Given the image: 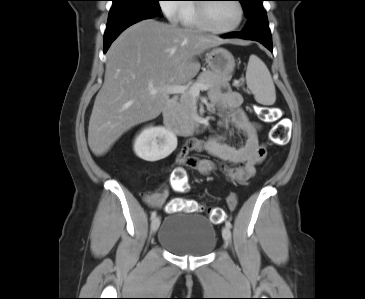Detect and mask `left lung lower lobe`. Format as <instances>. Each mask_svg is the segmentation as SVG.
<instances>
[{"instance_id":"0a47b994","label":"left lung lower lobe","mask_w":365,"mask_h":299,"mask_svg":"<svg viewBox=\"0 0 365 299\" xmlns=\"http://www.w3.org/2000/svg\"><path fill=\"white\" fill-rule=\"evenodd\" d=\"M224 38L239 37L246 40L260 42L269 51L273 50L272 37L268 25L266 12H260L248 20V24L242 32H231L223 35Z\"/></svg>"}]
</instances>
